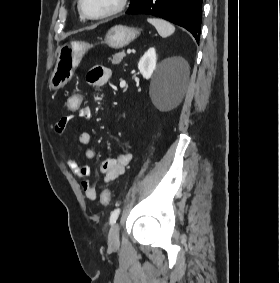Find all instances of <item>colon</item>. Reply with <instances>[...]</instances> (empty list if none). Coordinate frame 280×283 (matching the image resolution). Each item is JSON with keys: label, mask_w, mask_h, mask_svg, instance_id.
<instances>
[{"label": "colon", "mask_w": 280, "mask_h": 283, "mask_svg": "<svg viewBox=\"0 0 280 283\" xmlns=\"http://www.w3.org/2000/svg\"><path fill=\"white\" fill-rule=\"evenodd\" d=\"M84 102L83 94L79 91H72L71 94L67 95L66 108L67 112H78L79 108H82ZM111 200V192L109 189H104L101 194V204L107 206Z\"/></svg>", "instance_id": "obj_1"}]
</instances>
